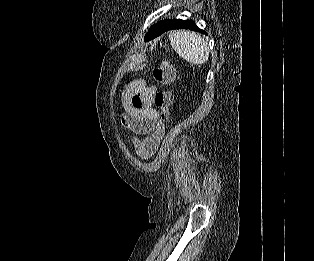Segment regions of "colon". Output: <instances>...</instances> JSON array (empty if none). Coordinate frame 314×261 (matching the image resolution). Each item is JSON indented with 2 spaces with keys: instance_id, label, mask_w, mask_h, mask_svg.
I'll return each instance as SVG.
<instances>
[{
  "instance_id": "obj_1",
  "label": "colon",
  "mask_w": 314,
  "mask_h": 261,
  "mask_svg": "<svg viewBox=\"0 0 314 261\" xmlns=\"http://www.w3.org/2000/svg\"><path fill=\"white\" fill-rule=\"evenodd\" d=\"M175 69L167 61L162 60L153 72V79L161 86V89L154 96V103L160 111L162 120L167 121L169 118V110L172 104V94L167 89L175 79Z\"/></svg>"
}]
</instances>
